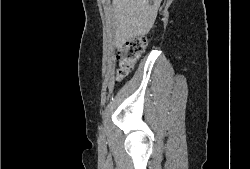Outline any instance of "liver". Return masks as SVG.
<instances>
[{"instance_id":"liver-1","label":"liver","mask_w":250,"mask_h":169,"mask_svg":"<svg viewBox=\"0 0 250 169\" xmlns=\"http://www.w3.org/2000/svg\"><path fill=\"white\" fill-rule=\"evenodd\" d=\"M115 16V44L144 36L152 28L161 0H112Z\"/></svg>"}]
</instances>
